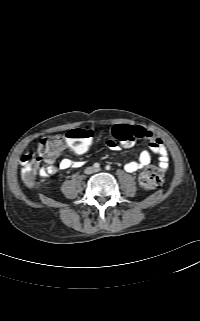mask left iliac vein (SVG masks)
<instances>
[{"instance_id": "4c4485c4", "label": "left iliac vein", "mask_w": 200, "mask_h": 321, "mask_svg": "<svg viewBox=\"0 0 200 321\" xmlns=\"http://www.w3.org/2000/svg\"><path fill=\"white\" fill-rule=\"evenodd\" d=\"M99 171H101V169H100V168L95 169V172H99Z\"/></svg>"}]
</instances>
